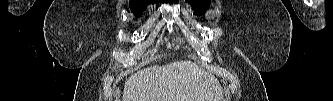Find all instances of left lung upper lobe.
<instances>
[{
  "label": "left lung upper lobe",
  "mask_w": 333,
  "mask_h": 101,
  "mask_svg": "<svg viewBox=\"0 0 333 101\" xmlns=\"http://www.w3.org/2000/svg\"><path fill=\"white\" fill-rule=\"evenodd\" d=\"M187 1L192 4V7L194 8V14L196 15L203 14L207 10L210 4V2L207 0H187Z\"/></svg>",
  "instance_id": "left-lung-upper-lobe-1"
}]
</instances>
